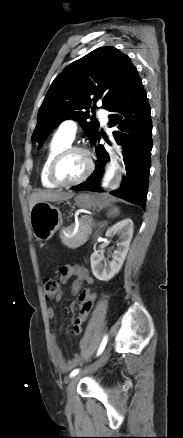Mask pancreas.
Returning a JSON list of instances; mask_svg holds the SVG:
<instances>
[{"mask_svg":"<svg viewBox=\"0 0 183 438\" xmlns=\"http://www.w3.org/2000/svg\"><path fill=\"white\" fill-rule=\"evenodd\" d=\"M92 226V218L83 217L79 220L78 231L73 236L67 237L61 234L60 239L68 248L76 249L87 242L89 235L92 233ZM66 232L72 234L73 227H68Z\"/></svg>","mask_w":183,"mask_h":438,"instance_id":"cf45deb5","label":"pancreas"}]
</instances>
